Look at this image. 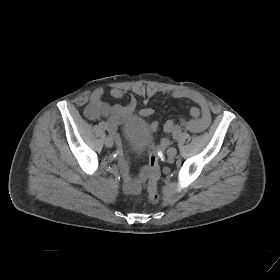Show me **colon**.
Segmentation results:
<instances>
[{"label": "colon", "mask_w": 280, "mask_h": 280, "mask_svg": "<svg viewBox=\"0 0 280 280\" xmlns=\"http://www.w3.org/2000/svg\"><path fill=\"white\" fill-rule=\"evenodd\" d=\"M148 169H147V193L146 199L150 203H157L159 201V194L157 190V181L160 174L159 167V150L154 145H151L148 152Z\"/></svg>", "instance_id": "colon-1"}]
</instances>
